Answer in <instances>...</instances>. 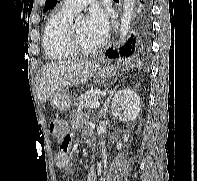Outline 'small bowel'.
Here are the masks:
<instances>
[{
	"instance_id": "obj_1",
	"label": "small bowel",
	"mask_w": 197,
	"mask_h": 181,
	"mask_svg": "<svg viewBox=\"0 0 197 181\" xmlns=\"http://www.w3.org/2000/svg\"><path fill=\"white\" fill-rule=\"evenodd\" d=\"M62 124V130L60 137L62 139H66L68 142V146L72 141V134L69 133V127L66 124ZM70 129L72 131L83 130L84 137L86 138L88 135H91L89 128L86 125V119L84 116L79 115L74 117L70 122ZM55 163L61 168L66 174H71L72 172V162L71 158L67 150H59L55 155ZM87 181H97L96 172L94 169H90L87 175Z\"/></svg>"
}]
</instances>
